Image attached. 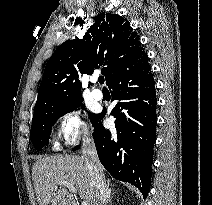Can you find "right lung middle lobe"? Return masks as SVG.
I'll list each match as a JSON object with an SVG mask.
<instances>
[{"mask_svg": "<svg viewBox=\"0 0 212 205\" xmlns=\"http://www.w3.org/2000/svg\"><path fill=\"white\" fill-rule=\"evenodd\" d=\"M82 101L83 99L69 105H45L34 110L30 140L37 150H41L43 146L48 145L52 126L57 119L80 106L85 109ZM89 116L93 122L97 114L89 113Z\"/></svg>", "mask_w": 212, "mask_h": 205, "instance_id": "obj_1", "label": "right lung middle lobe"}]
</instances>
